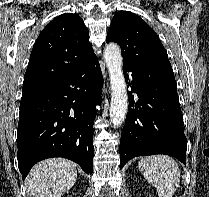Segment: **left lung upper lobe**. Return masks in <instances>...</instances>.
Segmentation results:
<instances>
[{
	"label": "left lung upper lobe",
	"instance_id": "5c2ea615",
	"mask_svg": "<svg viewBox=\"0 0 209 197\" xmlns=\"http://www.w3.org/2000/svg\"><path fill=\"white\" fill-rule=\"evenodd\" d=\"M120 45L123 64L146 76L175 79L167 52L155 31L139 16L120 11L112 18L106 42Z\"/></svg>",
	"mask_w": 209,
	"mask_h": 197
}]
</instances>
